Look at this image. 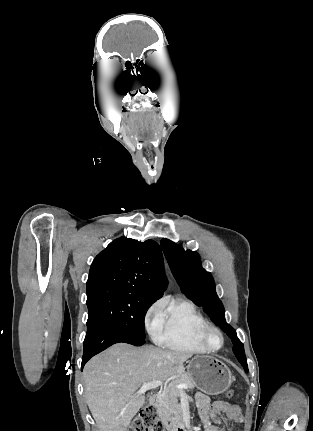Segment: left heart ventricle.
<instances>
[{
  "mask_svg": "<svg viewBox=\"0 0 313 431\" xmlns=\"http://www.w3.org/2000/svg\"><path fill=\"white\" fill-rule=\"evenodd\" d=\"M208 342L214 348L219 347L221 344L220 337L216 332H210L208 334Z\"/></svg>",
  "mask_w": 313,
  "mask_h": 431,
  "instance_id": "b2bd125f",
  "label": "left heart ventricle"
}]
</instances>
